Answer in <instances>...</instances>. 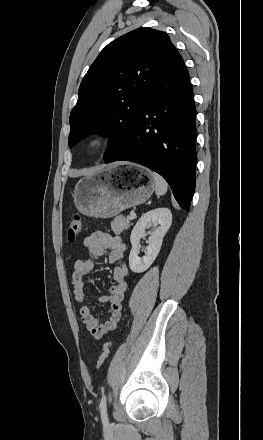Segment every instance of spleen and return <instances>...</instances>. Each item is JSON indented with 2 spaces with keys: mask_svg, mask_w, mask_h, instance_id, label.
<instances>
[{
  "mask_svg": "<svg viewBox=\"0 0 263 440\" xmlns=\"http://www.w3.org/2000/svg\"><path fill=\"white\" fill-rule=\"evenodd\" d=\"M152 176H153V179L155 182L156 195H158V196L164 195L168 189L167 182L165 181V179L161 175H159L155 172H152Z\"/></svg>",
  "mask_w": 263,
  "mask_h": 440,
  "instance_id": "spleen-1",
  "label": "spleen"
}]
</instances>
